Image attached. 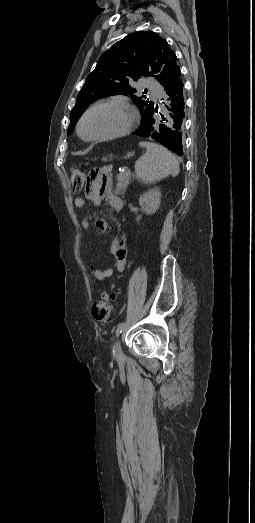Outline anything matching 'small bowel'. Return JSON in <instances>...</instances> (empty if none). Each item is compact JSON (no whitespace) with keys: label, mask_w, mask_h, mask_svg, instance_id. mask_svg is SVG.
Here are the masks:
<instances>
[{"label":"small bowel","mask_w":255,"mask_h":523,"mask_svg":"<svg viewBox=\"0 0 255 523\" xmlns=\"http://www.w3.org/2000/svg\"><path fill=\"white\" fill-rule=\"evenodd\" d=\"M101 198H104L114 208V210H116V211L122 210L123 203H122L121 199H119L118 197L114 196L111 193L109 182L105 183L99 189V191L92 188L88 192L86 198L77 197L75 199V206L78 208L85 207L86 199L97 204V203H99ZM94 224H95V227L99 231L105 232L108 229V223L104 219H96ZM81 226H82V229L85 232V234L90 233L91 227H90V223L87 219L81 220ZM83 246H84V248H86V246H87L85 240L83 241ZM111 253L113 254V256L115 258V262H114L113 266H111L105 270H102L94 265L90 266L91 275L95 280L104 281L108 277H110L114 273V271L121 273L124 270L125 264H126V256H127V247H126V242H125L124 237H122L120 240H116L112 243Z\"/></svg>","instance_id":"1"}]
</instances>
